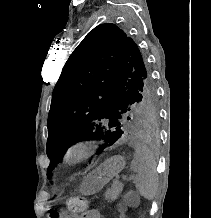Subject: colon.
<instances>
[{
  "instance_id": "5ec220e1",
  "label": "colon",
  "mask_w": 211,
  "mask_h": 218,
  "mask_svg": "<svg viewBox=\"0 0 211 218\" xmlns=\"http://www.w3.org/2000/svg\"><path fill=\"white\" fill-rule=\"evenodd\" d=\"M68 210L71 213H77V212H81L83 210H85L86 208V201L83 198H71L69 199L68 203ZM56 217H59L58 215H56Z\"/></svg>"
}]
</instances>
